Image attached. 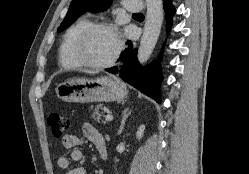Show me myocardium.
I'll use <instances>...</instances> for the list:
<instances>
[{
  "mask_svg": "<svg viewBox=\"0 0 249 174\" xmlns=\"http://www.w3.org/2000/svg\"><path fill=\"white\" fill-rule=\"evenodd\" d=\"M101 29L108 30L115 35L117 47H116V50L113 56L108 61L103 62V63H91L87 61L85 57L83 56V46L86 42V39L92 32L96 30H101ZM122 48H123L122 40H121L120 34L116 26H114L111 23H107V22H96V23L88 24L85 27V29L81 32V34L78 36L75 42L73 51H74L75 58L77 59L78 63L82 67L93 69V70H102V69H106V68L113 66L117 62L122 52Z\"/></svg>",
  "mask_w": 249,
  "mask_h": 174,
  "instance_id": "obj_1",
  "label": "myocardium"
}]
</instances>
